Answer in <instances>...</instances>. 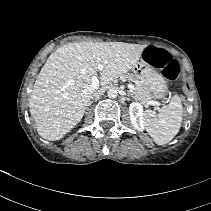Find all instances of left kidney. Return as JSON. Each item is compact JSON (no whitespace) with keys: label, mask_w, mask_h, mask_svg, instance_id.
<instances>
[{"label":"left kidney","mask_w":211,"mask_h":211,"mask_svg":"<svg viewBox=\"0 0 211 211\" xmlns=\"http://www.w3.org/2000/svg\"><path fill=\"white\" fill-rule=\"evenodd\" d=\"M129 114L132 125L135 129L143 131L144 124V111L143 106L139 102H132L129 106Z\"/></svg>","instance_id":"left-kidney-1"}]
</instances>
